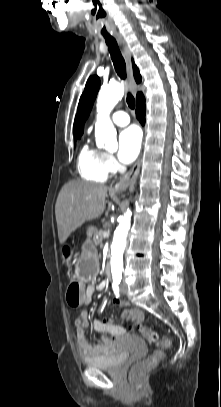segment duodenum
<instances>
[{"mask_svg":"<svg viewBox=\"0 0 221 407\" xmlns=\"http://www.w3.org/2000/svg\"><path fill=\"white\" fill-rule=\"evenodd\" d=\"M105 271H106L107 277L110 279V278H111V269H110V265H109V264L106 266Z\"/></svg>","mask_w":221,"mask_h":407,"instance_id":"obj_1","label":"duodenum"}]
</instances>
